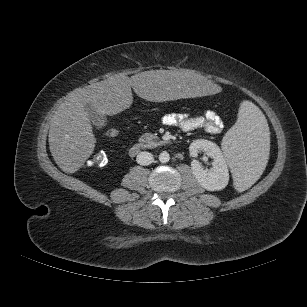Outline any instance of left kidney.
I'll return each mask as SVG.
<instances>
[{
    "instance_id": "1",
    "label": "left kidney",
    "mask_w": 307,
    "mask_h": 307,
    "mask_svg": "<svg viewBox=\"0 0 307 307\" xmlns=\"http://www.w3.org/2000/svg\"><path fill=\"white\" fill-rule=\"evenodd\" d=\"M190 155L197 157L200 151H204L213 159L212 168L203 169L198 160L191 162L192 173L199 184L208 191L224 189L229 181V171L226 160L220 148L214 142L198 139L189 146Z\"/></svg>"
}]
</instances>
